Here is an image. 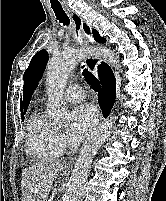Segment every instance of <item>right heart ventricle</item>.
<instances>
[{"label":"right heart ventricle","instance_id":"1","mask_svg":"<svg viewBox=\"0 0 166 201\" xmlns=\"http://www.w3.org/2000/svg\"><path fill=\"white\" fill-rule=\"evenodd\" d=\"M26 147L35 163L55 160L62 153L58 130L41 112L34 113L28 122Z\"/></svg>","mask_w":166,"mask_h":201}]
</instances>
